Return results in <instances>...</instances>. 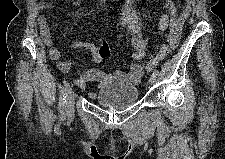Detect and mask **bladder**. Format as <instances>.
Returning <instances> with one entry per match:
<instances>
[{
	"instance_id": "1",
	"label": "bladder",
	"mask_w": 225,
	"mask_h": 159,
	"mask_svg": "<svg viewBox=\"0 0 225 159\" xmlns=\"http://www.w3.org/2000/svg\"><path fill=\"white\" fill-rule=\"evenodd\" d=\"M138 97V88L134 84L112 82L102 86L94 99L101 106L121 110L135 104Z\"/></svg>"
}]
</instances>
